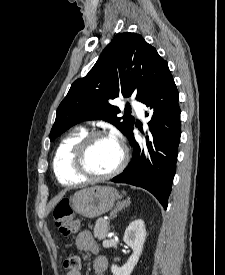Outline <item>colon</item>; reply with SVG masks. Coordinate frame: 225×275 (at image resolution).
<instances>
[{
  "label": "colon",
  "instance_id": "5ec220e1",
  "mask_svg": "<svg viewBox=\"0 0 225 275\" xmlns=\"http://www.w3.org/2000/svg\"><path fill=\"white\" fill-rule=\"evenodd\" d=\"M55 225L64 236H72L78 231V222L72 217L70 201L67 198L59 201L53 209ZM63 267L68 271H79L80 259L77 256H69L63 262Z\"/></svg>",
  "mask_w": 225,
  "mask_h": 275
}]
</instances>
